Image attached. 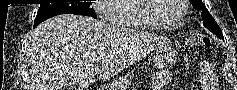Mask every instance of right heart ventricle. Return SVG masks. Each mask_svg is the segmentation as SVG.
<instances>
[{
    "label": "right heart ventricle",
    "instance_id": "1",
    "mask_svg": "<svg viewBox=\"0 0 237 90\" xmlns=\"http://www.w3.org/2000/svg\"><path fill=\"white\" fill-rule=\"evenodd\" d=\"M137 2L142 0H121L117 4H111L110 9H107V13L111 16V24H115L114 28H150L142 17H139L138 13L143 11H137Z\"/></svg>",
    "mask_w": 237,
    "mask_h": 90
}]
</instances>
